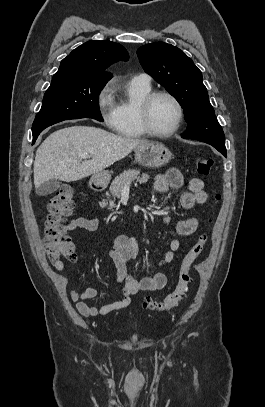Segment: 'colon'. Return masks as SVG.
I'll return each instance as SVG.
<instances>
[{
	"label": "colon",
	"instance_id": "obj_1",
	"mask_svg": "<svg viewBox=\"0 0 265 407\" xmlns=\"http://www.w3.org/2000/svg\"><path fill=\"white\" fill-rule=\"evenodd\" d=\"M195 165L197 172L206 176L213 167V160L209 157H197ZM74 205V191L70 187L58 189L48 202L44 244L47 256L53 265L62 262L64 259L71 260L74 258V246L61 230L63 220L71 214ZM207 241L208 234L206 232L199 235L198 240L184 256L180 264L175 289L160 301L151 297L144 298L142 305L146 310L169 312L187 299L189 286L192 282L190 269L203 253Z\"/></svg>",
	"mask_w": 265,
	"mask_h": 407
}]
</instances>
